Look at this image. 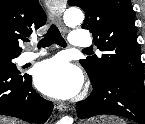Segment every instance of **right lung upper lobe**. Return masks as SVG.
Returning a JSON list of instances; mask_svg holds the SVG:
<instances>
[{
  "label": "right lung upper lobe",
  "instance_id": "right-lung-upper-lobe-1",
  "mask_svg": "<svg viewBox=\"0 0 145 124\" xmlns=\"http://www.w3.org/2000/svg\"><path fill=\"white\" fill-rule=\"evenodd\" d=\"M46 23L38 0H0V51L19 55V39Z\"/></svg>",
  "mask_w": 145,
  "mask_h": 124
}]
</instances>
